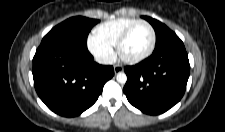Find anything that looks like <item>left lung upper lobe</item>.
<instances>
[{
	"mask_svg": "<svg viewBox=\"0 0 225 132\" xmlns=\"http://www.w3.org/2000/svg\"><path fill=\"white\" fill-rule=\"evenodd\" d=\"M143 18L153 26L156 33V46L154 52L164 49L168 46L183 43L173 31H171L160 21L147 16H143Z\"/></svg>",
	"mask_w": 225,
	"mask_h": 132,
	"instance_id": "5c2ea615",
	"label": "left lung upper lobe"
}]
</instances>
